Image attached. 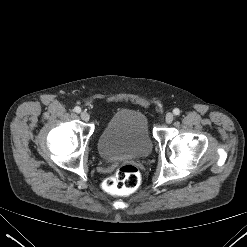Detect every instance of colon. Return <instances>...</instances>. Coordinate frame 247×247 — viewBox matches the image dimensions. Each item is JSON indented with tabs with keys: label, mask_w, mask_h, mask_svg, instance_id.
Instances as JSON below:
<instances>
[{
	"label": "colon",
	"mask_w": 247,
	"mask_h": 247,
	"mask_svg": "<svg viewBox=\"0 0 247 247\" xmlns=\"http://www.w3.org/2000/svg\"><path fill=\"white\" fill-rule=\"evenodd\" d=\"M141 181L138 168L132 164H124L104 182V188L114 194L125 195L135 191Z\"/></svg>",
	"instance_id": "colon-1"
}]
</instances>
